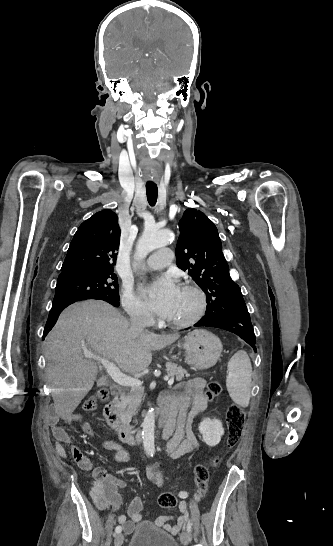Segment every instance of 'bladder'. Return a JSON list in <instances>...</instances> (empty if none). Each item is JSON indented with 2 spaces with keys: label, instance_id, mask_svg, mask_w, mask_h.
I'll return each mask as SVG.
<instances>
[{
  "label": "bladder",
  "instance_id": "31cf9c89",
  "mask_svg": "<svg viewBox=\"0 0 333 546\" xmlns=\"http://www.w3.org/2000/svg\"><path fill=\"white\" fill-rule=\"evenodd\" d=\"M127 546H179L177 540L166 531L149 523H141Z\"/></svg>",
  "mask_w": 333,
  "mask_h": 546
}]
</instances>
